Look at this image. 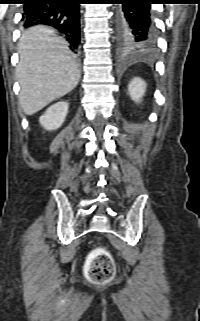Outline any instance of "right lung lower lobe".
Segmentation results:
<instances>
[{"instance_id":"obj_1","label":"right lung lower lobe","mask_w":200,"mask_h":321,"mask_svg":"<svg viewBox=\"0 0 200 321\" xmlns=\"http://www.w3.org/2000/svg\"><path fill=\"white\" fill-rule=\"evenodd\" d=\"M81 0H25L24 27L48 25L59 30L77 50L80 42L79 4Z\"/></svg>"}]
</instances>
